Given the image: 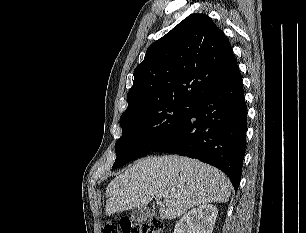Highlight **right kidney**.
<instances>
[{"instance_id":"obj_1","label":"right kidney","mask_w":306,"mask_h":233,"mask_svg":"<svg viewBox=\"0 0 306 233\" xmlns=\"http://www.w3.org/2000/svg\"><path fill=\"white\" fill-rule=\"evenodd\" d=\"M218 210L212 204H203L184 214L176 223L174 233H212Z\"/></svg>"}]
</instances>
